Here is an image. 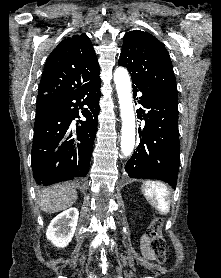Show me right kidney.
Here are the masks:
<instances>
[{"instance_id":"right-kidney-1","label":"right kidney","mask_w":221,"mask_h":278,"mask_svg":"<svg viewBox=\"0 0 221 278\" xmlns=\"http://www.w3.org/2000/svg\"><path fill=\"white\" fill-rule=\"evenodd\" d=\"M78 216L79 211L75 207L57 215L47 228V239L56 247H66L75 233Z\"/></svg>"}]
</instances>
